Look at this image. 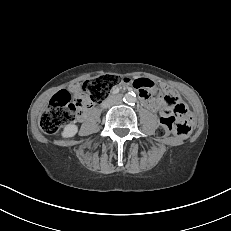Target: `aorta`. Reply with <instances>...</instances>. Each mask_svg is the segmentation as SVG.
I'll list each match as a JSON object with an SVG mask.
<instances>
[{
    "mask_svg": "<svg viewBox=\"0 0 231 231\" xmlns=\"http://www.w3.org/2000/svg\"><path fill=\"white\" fill-rule=\"evenodd\" d=\"M125 99H126V101H128V102H133L134 101V96L132 95V94H127L126 96H125Z\"/></svg>",
    "mask_w": 231,
    "mask_h": 231,
    "instance_id": "aorta-1",
    "label": "aorta"
}]
</instances>
